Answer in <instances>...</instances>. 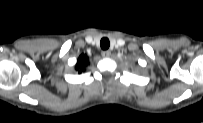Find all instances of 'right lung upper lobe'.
Segmentation results:
<instances>
[{"label":"right lung upper lobe","instance_id":"cb5924a9","mask_svg":"<svg viewBox=\"0 0 203 123\" xmlns=\"http://www.w3.org/2000/svg\"><path fill=\"white\" fill-rule=\"evenodd\" d=\"M88 60L89 58L86 55L84 54L80 55L78 58L77 64L75 66V69L79 70V73L84 71L85 67L88 65Z\"/></svg>","mask_w":203,"mask_h":123}]
</instances>
